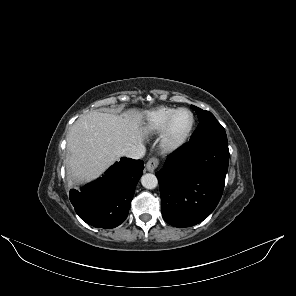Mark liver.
Returning <instances> with one entry per match:
<instances>
[{
	"mask_svg": "<svg viewBox=\"0 0 296 296\" xmlns=\"http://www.w3.org/2000/svg\"><path fill=\"white\" fill-rule=\"evenodd\" d=\"M142 114L131 111L125 118L92 111L82 115L67 137V168L72 178H97L122 156L124 149L143 146Z\"/></svg>",
	"mask_w": 296,
	"mask_h": 296,
	"instance_id": "1",
	"label": "liver"
}]
</instances>
